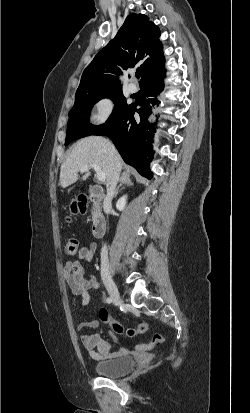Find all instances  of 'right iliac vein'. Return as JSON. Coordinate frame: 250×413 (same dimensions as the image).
<instances>
[{
  "instance_id": "1",
  "label": "right iliac vein",
  "mask_w": 250,
  "mask_h": 413,
  "mask_svg": "<svg viewBox=\"0 0 250 413\" xmlns=\"http://www.w3.org/2000/svg\"><path fill=\"white\" fill-rule=\"evenodd\" d=\"M103 282L106 286V289L112 299V301L114 302V304L119 305L121 304L123 301L119 295L118 289L114 283V281L112 280V278L108 275H104L103 276Z\"/></svg>"
}]
</instances>
